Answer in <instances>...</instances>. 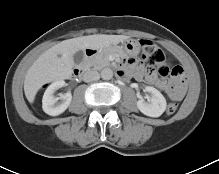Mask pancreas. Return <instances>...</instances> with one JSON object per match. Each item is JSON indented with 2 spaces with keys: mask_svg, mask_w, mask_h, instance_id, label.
Instances as JSON below:
<instances>
[{
  "mask_svg": "<svg viewBox=\"0 0 219 174\" xmlns=\"http://www.w3.org/2000/svg\"><path fill=\"white\" fill-rule=\"evenodd\" d=\"M117 51L115 50H109V51H102L98 54H96L95 56L89 58L85 65L87 67H93L96 70H100L103 67L109 66L110 65V61L108 60V56L110 54H116Z\"/></svg>",
  "mask_w": 219,
  "mask_h": 174,
  "instance_id": "cf45deb5",
  "label": "pancreas"
}]
</instances>
